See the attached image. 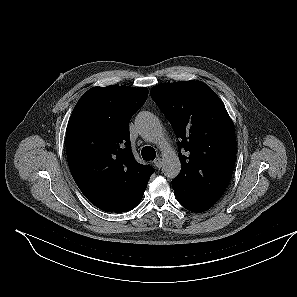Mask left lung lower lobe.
Segmentation results:
<instances>
[{"label": "left lung lower lobe", "instance_id": "left-lung-lower-lobe-1", "mask_svg": "<svg viewBox=\"0 0 297 297\" xmlns=\"http://www.w3.org/2000/svg\"><path fill=\"white\" fill-rule=\"evenodd\" d=\"M172 187H173V189H174V191L176 192V190H175V184L174 183H172ZM176 195V194H175ZM176 198L178 199V197L176 196ZM194 212V211H193ZM204 212V211H203ZM197 213H199V212H197Z\"/></svg>", "mask_w": 297, "mask_h": 297}]
</instances>
